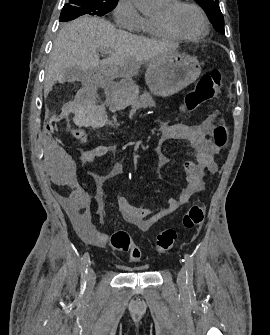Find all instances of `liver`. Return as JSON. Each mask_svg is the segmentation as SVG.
Listing matches in <instances>:
<instances>
[{
    "label": "liver",
    "mask_w": 270,
    "mask_h": 335,
    "mask_svg": "<svg viewBox=\"0 0 270 335\" xmlns=\"http://www.w3.org/2000/svg\"><path fill=\"white\" fill-rule=\"evenodd\" d=\"M178 48V44L156 42L144 36H135L117 30L110 22L97 16H81L61 28L50 54V62L44 82V98L52 86L66 82L67 68H81L83 72L101 70L111 78H125L131 84L140 66L154 56L168 54ZM99 50H110L109 62L99 60Z\"/></svg>",
    "instance_id": "6515ba94"
}]
</instances>
